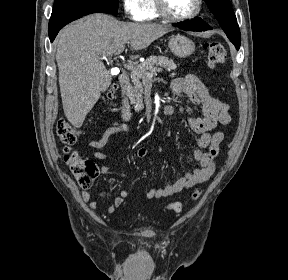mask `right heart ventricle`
I'll list each match as a JSON object with an SVG mask.
<instances>
[{"mask_svg":"<svg viewBox=\"0 0 288 280\" xmlns=\"http://www.w3.org/2000/svg\"><path fill=\"white\" fill-rule=\"evenodd\" d=\"M145 14L143 20L149 21L159 17L156 9L155 0H146L145 2Z\"/></svg>","mask_w":288,"mask_h":280,"instance_id":"right-heart-ventricle-1","label":"right heart ventricle"}]
</instances>
